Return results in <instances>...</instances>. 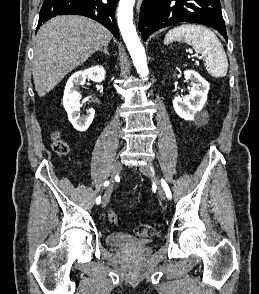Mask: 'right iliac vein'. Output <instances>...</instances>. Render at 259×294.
<instances>
[{
  "label": "right iliac vein",
  "mask_w": 259,
  "mask_h": 294,
  "mask_svg": "<svg viewBox=\"0 0 259 294\" xmlns=\"http://www.w3.org/2000/svg\"><path fill=\"white\" fill-rule=\"evenodd\" d=\"M122 170V163L121 162H116L113 166L112 169V175H111V180L113 181L114 177L117 176ZM111 191H112V184L109 185L107 188L103 199H102V206L106 207V205L109 203L110 196H111Z\"/></svg>",
  "instance_id": "right-iliac-vein-1"
}]
</instances>
